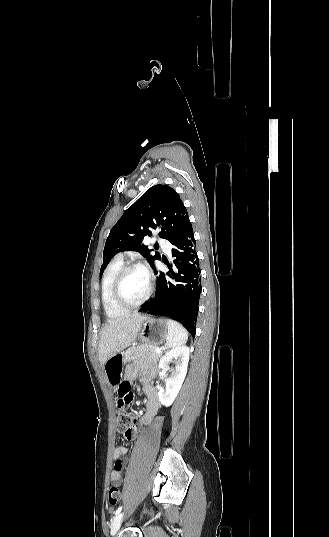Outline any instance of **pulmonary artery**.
<instances>
[{"instance_id": "1", "label": "pulmonary artery", "mask_w": 329, "mask_h": 537, "mask_svg": "<svg viewBox=\"0 0 329 537\" xmlns=\"http://www.w3.org/2000/svg\"><path fill=\"white\" fill-rule=\"evenodd\" d=\"M158 242L161 244V246L163 247V249H164L166 252H168V253L170 252V250H171V245H170V243H169L167 240H165V239H158ZM119 257L121 258L122 256L119 255Z\"/></svg>"}]
</instances>
